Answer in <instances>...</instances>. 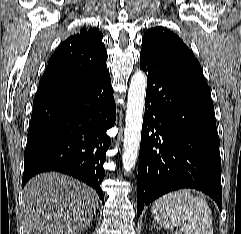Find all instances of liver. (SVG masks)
<instances>
[{"instance_id":"6515ba94","label":"liver","mask_w":241,"mask_h":234,"mask_svg":"<svg viewBox=\"0 0 241 234\" xmlns=\"http://www.w3.org/2000/svg\"><path fill=\"white\" fill-rule=\"evenodd\" d=\"M98 199L94 189L72 177L39 174L23 190L26 234H79L93 220Z\"/></svg>"}]
</instances>
